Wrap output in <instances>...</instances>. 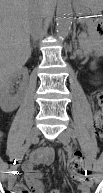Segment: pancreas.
Segmentation results:
<instances>
[{"label":"pancreas","instance_id":"1","mask_svg":"<svg viewBox=\"0 0 103 193\" xmlns=\"http://www.w3.org/2000/svg\"><path fill=\"white\" fill-rule=\"evenodd\" d=\"M80 46L82 47V49L84 50L85 53H88L90 50V45H89V40L87 37L85 36H81L80 37Z\"/></svg>","mask_w":103,"mask_h":193}]
</instances>
